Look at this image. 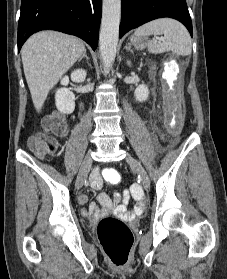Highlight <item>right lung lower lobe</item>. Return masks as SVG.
Returning a JSON list of instances; mask_svg holds the SVG:
<instances>
[{
    "mask_svg": "<svg viewBox=\"0 0 227 279\" xmlns=\"http://www.w3.org/2000/svg\"><path fill=\"white\" fill-rule=\"evenodd\" d=\"M102 0H22L18 23V52L33 33L57 30L98 45Z\"/></svg>",
    "mask_w": 227,
    "mask_h": 279,
    "instance_id": "1",
    "label": "right lung lower lobe"
}]
</instances>
